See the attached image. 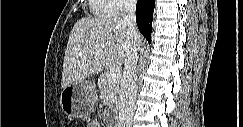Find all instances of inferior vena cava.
Returning a JSON list of instances; mask_svg holds the SVG:
<instances>
[{
  "label": "inferior vena cava",
  "instance_id": "obj_1",
  "mask_svg": "<svg viewBox=\"0 0 243 127\" xmlns=\"http://www.w3.org/2000/svg\"><path fill=\"white\" fill-rule=\"evenodd\" d=\"M136 2V0H124L126 15L122 20V23L134 33H138L135 16ZM139 48L140 46L134 43V45L130 47L125 61V70L120 81L117 127H132L135 110V77Z\"/></svg>",
  "mask_w": 243,
  "mask_h": 127
}]
</instances>
